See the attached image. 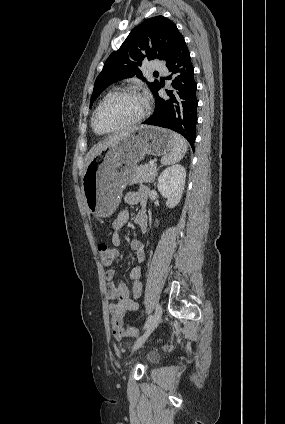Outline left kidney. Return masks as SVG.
Wrapping results in <instances>:
<instances>
[{
    "instance_id": "obj_1",
    "label": "left kidney",
    "mask_w": 285,
    "mask_h": 424,
    "mask_svg": "<svg viewBox=\"0 0 285 424\" xmlns=\"http://www.w3.org/2000/svg\"><path fill=\"white\" fill-rule=\"evenodd\" d=\"M186 179V170L182 165L166 168L158 177V191L167 198L166 206L174 208L182 198Z\"/></svg>"
}]
</instances>
